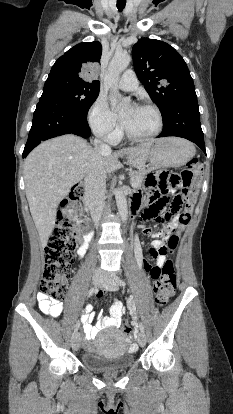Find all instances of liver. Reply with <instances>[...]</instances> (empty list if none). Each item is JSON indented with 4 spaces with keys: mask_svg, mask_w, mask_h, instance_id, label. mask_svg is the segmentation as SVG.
<instances>
[{
    "mask_svg": "<svg viewBox=\"0 0 233 414\" xmlns=\"http://www.w3.org/2000/svg\"><path fill=\"white\" fill-rule=\"evenodd\" d=\"M153 143L103 154L102 167L106 174H111L121 168L118 157L124 155L130 165L142 167ZM94 152L86 140L67 134L42 142L25 159L26 197L42 247L47 245L54 228L59 203L85 177Z\"/></svg>",
    "mask_w": 233,
    "mask_h": 414,
    "instance_id": "1",
    "label": "liver"
}]
</instances>
